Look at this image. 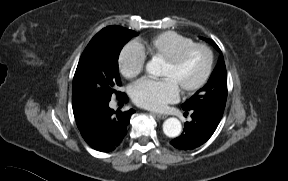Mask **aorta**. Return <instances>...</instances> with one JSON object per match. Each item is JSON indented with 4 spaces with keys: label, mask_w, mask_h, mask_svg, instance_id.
<instances>
[{
    "label": "aorta",
    "mask_w": 288,
    "mask_h": 181,
    "mask_svg": "<svg viewBox=\"0 0 288 181\" xmlns=\"http://www.w3.org/2000/svg\"><path fill=\"white\" fill-rule=\"evenodd\" d=\"M146 70L150 74L157 73V63L154 61H150L146 65ZM182 130L181 122L174 117L168 118L163 123V132L166 136L170 138H175L180 135Z\"/></svg>",
    "instance_id": "762f6f07"
}]
</instances>
